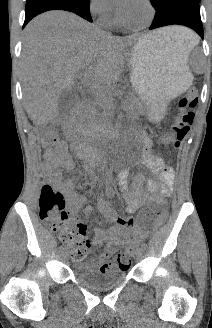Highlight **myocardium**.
Instances as JSON below:
<instances>
[{
  "mask_svg": "<svg viewBox=\"0 0 212 328\" xmlns=\"http://www.w3.org/2000/svg\"><path fill=\"white\" fill-rule=\"evenodd\" d=\"M142 2L147 6L148 10H149V16H148V21L147 23H143V24H133V23H129L127 22L121 12L119 11L117 13V21L124 26L127 29H131V30H141L144 29L148 26V24L153 20L154 16H155V7L152 3L151 0H142Z\"/></svg>",
  "mask_w": 212,
  "mask_h": 328,
  "instance_id": "f54148a6",
  "label": "myocardium"
}]
</instances>
